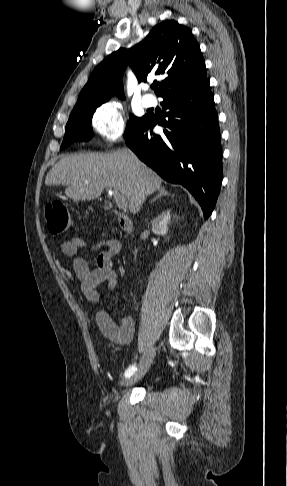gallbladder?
<instances>
[{
  "label": "gallbladder",
  "mask_w": 287,
  "mask_h": 486,
  "mask_svg": "<svg viewBox=\"0 0 287 486\" xmlns=\"http://www.w3.org/2000/svg\"><path fill=\"white\" fill-rule=\"evenodd\" d=\"M109 207H110V206H109V205H107V204L104 206V208H105V209H108Z\"/></svg>",
  "instance_id": "1"
}]
</instances>
